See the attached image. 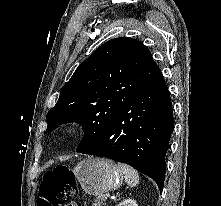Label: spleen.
<instances>
[{
    "mask_svg": "<svg viewBox=\"0 0 221 206\" xmlns=\"http://www.w3.org/2000/svg\"><path fill=\"white\" fill-rule=\"evenodd\" d=\"M119 167L125 176L126 183L131 187H135L139 184V174L135 169L124 164H120Z\"/></svg>",
    "mask_w": 221,
    "mask_h": 206,
    "instance_id": "spleen-1",
    "label": "spleen"
}]
</instances>
